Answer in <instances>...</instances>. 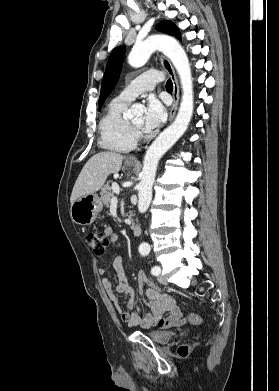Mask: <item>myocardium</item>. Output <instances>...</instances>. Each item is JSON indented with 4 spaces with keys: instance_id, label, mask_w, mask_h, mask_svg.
<instances>
[{
    "instance_id": "1",
    "label": "myocardium",
    "mask_w": 279,
    "mask_h": 391,
    "mask_svg": "<svg viewBox=\"0 0 279 391\" xmlns=\"http://www.w3.org/2000/svg\"><path fill=\"white\" fill-rule=\"evenodd\" d=\"M129 123H130L132 129L134 130L135 134H139L141 132V126H138V125L134 124L130 120H129Z\"/></svg>"
}]
</instances>
